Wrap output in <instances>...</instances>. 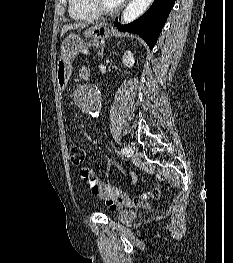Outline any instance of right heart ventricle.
I'll return each mask as SVG.
<instances>
[{
    "label": "right heart ventricle",
    "instance_id": "e07e8e85",
    "mask_svg": "<svg viewBox=\"0 0 233 263\" xmlns=\"http://www.w3.org/2000/svg\"><path fill=\"white\" fill-rule=\"evenodd\" d=\"M69 12L73 19L79 21L97 18V13L90 7L88 0H69Z\"/></svg>",
    "mask_w": 233,
    "mask_h": 263
}]
</instances>
